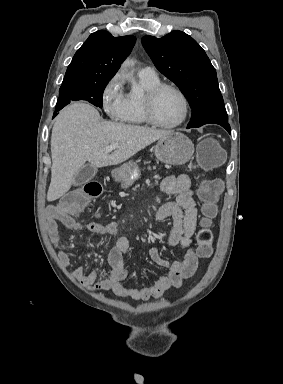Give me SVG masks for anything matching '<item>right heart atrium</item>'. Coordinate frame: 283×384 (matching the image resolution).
I'll return each instance as SVG.
<instances>
[{
    "label": "right heart atrium",
    "instance_id": "1",
    "mask_svg": "<svg viewBox=\"0 0 283 384\" xmlns=\"http://www.w3.org/2000/svg\"><path fill=\"white\" fill-rule=\"evenodd\" d=\"M101 106L112 123L123 124L125 122L126 95L120 73H115L103 85Z\"/></svg>",
    "mask_w": 283,
    "mask_h": 384
}]
</instances>
